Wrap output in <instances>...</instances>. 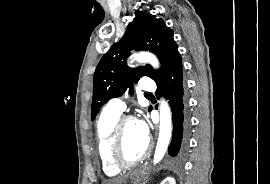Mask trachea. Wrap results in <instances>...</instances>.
Segmentation results:
<instances>
[{
  "label": "trachea",
  "mask_w": 270,
  "mask_h": 184,
  "mask_svg": "<svg viewBox=\"0 0 270 184\" xmlns=\"http://www.w3.org/2000/svg\"><path fill=\"white\" fill-rule=\"evenodd\" d=\"M145 95H146V96H150L151 94H150V93H146Z\"/></svg>",
  "instance_id": "3493384b"
}]
</instances>
